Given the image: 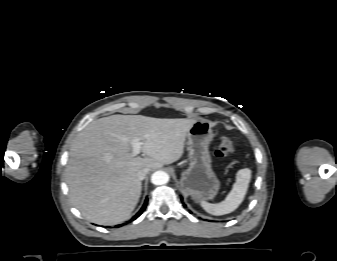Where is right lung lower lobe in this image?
<instances>
[{"instance_id": "right-lung-lower-lobe-1", "label": "right lung lower lobe", "mask_w": 337, "mask_h": 261, "mask_svg": "<svg viewBox=\"0 0 337 261\" xmlns=\"http://www.w3.org/2000/svg\"><path fill=\"white\" fill-rule=\"evenodd\" d=\"M147 203H148V199L145 200V202H144L142 208H141V209L139 210V212H138V213L131 219V221H132V220H135L137 217H139V216L142 214V212L145 210V208H146V206H147Z\"/></svg>"}]
</instances>
